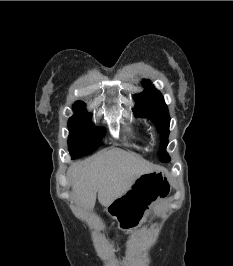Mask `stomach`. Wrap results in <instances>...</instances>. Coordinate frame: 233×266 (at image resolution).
<instances>
[{"label":"stomach","mask_w":233,"mask_h":266,"mask_svg":"<svg viewBox=\"0 0 233 266\" xmlns=\"http://www.w3.org/2000/svg\"><path fill=\"white\" fill-rule=\"evenodd\" d=\"M170 192V181L165 171L157 168L140 175L126 194L113 199L111 209H104L109 221H119L116 231L130 232V228H138L149 210ZM120 214V216H119Z\"/></svg>","instance_id":"0dacf381"}]
</instances>
